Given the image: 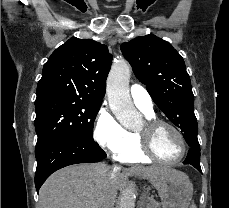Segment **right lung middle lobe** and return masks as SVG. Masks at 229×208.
Instances as JSON below:
<instances>
[{"label": "right lung middle lobe", "mask_w": 229, "mask_h": 208, "mask_svg": "<svg viewBox=\"0 0 229 208\" xmlns=\"http://www.w3.org/2000/svg\"><path fill=\"white\" fill-rule=\"evenodd\" d=\"M101 105L70 97L35 101L36 149L60 135H76L93 143L94 120Z\"/></svg>", "instance_id": "1"}]
</instances>
